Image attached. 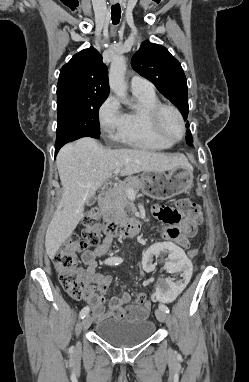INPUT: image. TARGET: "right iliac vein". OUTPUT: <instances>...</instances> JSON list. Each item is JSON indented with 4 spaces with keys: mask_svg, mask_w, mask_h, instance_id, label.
<instances>
[{
    "mask_svg": "<svg viewBox=\"0 0 249 382\" xmlns=\"http://www.w3.org/2000/svg\"><path fill=\"white\" fill-rule=\"evenodd\" d=\"M91 321H92V318L90 315H87L83 320H82V324H81V327L83 330H86L89 328V326L91 325Z\"/></svg>",
    "mask_w": 249,
    "mask_h": 382,
    "instance_id": "63e3f726",
    "label": "right iliac vein"
}]
</instances>
